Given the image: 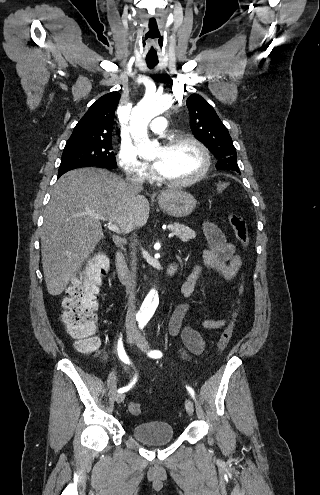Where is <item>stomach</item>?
I'll return each mask as SVG.
<instances>
[{
	"label": "stomach",
	"instance_id": "obj_1",
	"mask_svg": "<svg viewBox=\"0 0 320 495\" xmlns=\"http://www.w3.org/2000/svg\"><path fill=\"white\" fill-rule=\"evenodd\" d=\"M196 203L191 194L181 190L164 192L158 197L161 210L176 218L190 215L196 208Z\"/></svg>",
	"mask_w": 320,
	"mask_h": 495
}]
</instances>
